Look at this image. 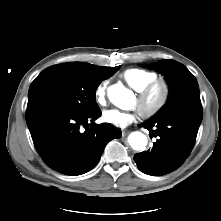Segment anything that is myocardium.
I'll list each match as a JSON object with an SVG mask.
<instances>
[{
  "mask_svg": "<svg viewBox=\"0 0 221 221\" xmlns=\"http://www.w3.org/2000/svg\"><path fill=\"white\" fill-rule=\"evenodd\" d=\"M157 89L160 90V97L152 106L148 107L147 102L152 93ZM170 90V83L166 79L156 78L137 91V107L141 116L144 118H152L158 114L167 104Z\"/></svg>",
  "mask_w": 221,
  "mask_h": 221,
  "instance_id": "obj_1",
  "label": "myocardium"
}]
</instances>
